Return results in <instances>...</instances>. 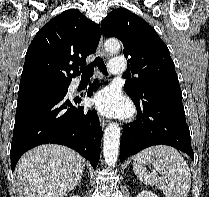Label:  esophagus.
I'll use <instances>...</instances> for the list:
<instances>
[{
  "mask_svg": "<svg viewBox=\"0 0 209 197\" xmlns=\"http://www.w3.org/2000/svg\"><path fill=\"white\" fill-rule=\"evenodd\" d=\"M98 52L103 57V59H107L108 55L104 49L103 36H101L100 41H99ZM107 123H108V120L104 118H100V124H101L102 129L106 127Z\"/></svg>",
  "mask_w": 209,
  "mask_h": 197,
  "instance_id": "obj_1",
  "label": "esophagus"
}]
</instances>
